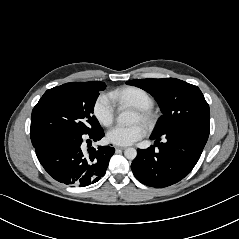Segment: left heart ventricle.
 <instances>
[{
    "label": "left heart ventricle",
    "instance_id": "obj_1",
    "mask_svg": "<svg viewBox=\"0 0 239 239\" xmlns=\"http://www.w3.org/2000/svg\"><path fill=\"white\" fill-rule=\"evenodd\" d=\"M133 122L143 123V122H142V119H141V116H140L137 112H136L135 115H134Z\"/></svg>",
    "mask_w": 239,
    "mask_h": 239
}]
</instances>
